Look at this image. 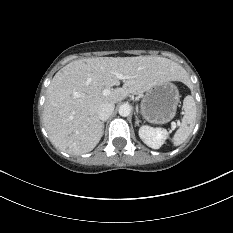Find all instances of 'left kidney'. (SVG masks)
Masks as SVG:
<instances>
[{
  "instance_id": "5707ae66",
  "label": "left kidney",
  "mask_w": 233,
  "mask_h": 233,
  "mask_svg": "<svg viewBox=\"0 0 233 233\" xmlns=\"http://www.w3.org/2000/svg\"><path fill=\"white\" fill-rule=\"evenodd\" d=\"M139 137L148 147L159 149L168 138V132L162 128H153L145 125L140 127Z\"/></svg>"
}]
</instances>
